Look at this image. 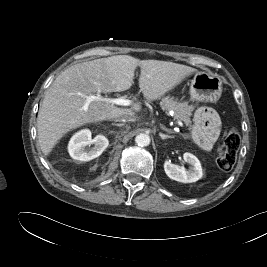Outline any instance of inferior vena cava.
Wrapping results in <instances>:
<instances>
[{
  "label": "inferior vena cava",
  "instance_id": "602c4592",
  "mask_svg": "<svg viewBox=\"0 0 267 267\" xmlns=\"http://www.w3.org/2000/svg\"><path fill=\"white\" fill-rule=\"evenodd\" d=\"M115 121H122V122H134L136 121V116L133 113L124 114L119 117L114 118Z\"/></svg>",
  "mask_w": 267,
  "mask_h": 267
}]
</instances>
